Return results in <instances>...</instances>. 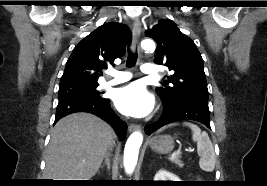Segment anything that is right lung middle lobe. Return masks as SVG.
<instances>
[{
    "label": "right lung middle lobe",
    "instance_id": "right-lung-middle-lobe-1",
    "mask_svg": "<svg viewBox=\"0 0 267 186\" xmlns=\"http://www.w3.org/2000/svg\"><path fill=\"white\" fill-rule=\"evenodd\" d=\"M98 83H74L60 85L58 97L64 98L73 95L87 96L96 99H103L100 92L97 90Z\"/></svg>",
    "mask_w": 267,
    "mask_h": 186
}]
</instances>
